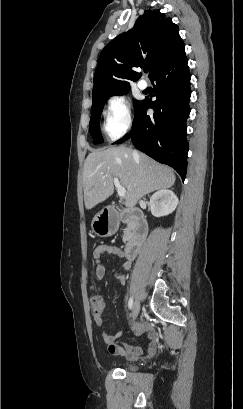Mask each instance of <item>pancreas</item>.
Returning <instances> with one entry per match:
<instances>
[{
  "label": "pancreas",
  "instance_id": "obj_1",
  "mask_svg": "<svg viewBox=\"0 0 243 409\" xmlns=\"http://www.w3.org/2000/svg\"><path fill=\"white\" fill-rule=\"evenodd\" d=\"M124 235H123V241L126 242L129 240L130 235H131V226L128 225L124 230Z\"/></svg>",
  "mask_w": 243,
  "mask_h": 409
}]
</instances>
